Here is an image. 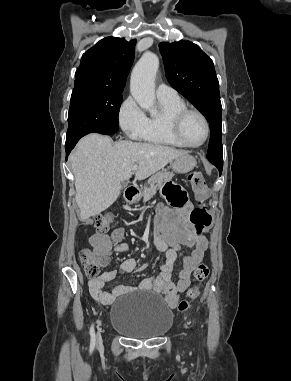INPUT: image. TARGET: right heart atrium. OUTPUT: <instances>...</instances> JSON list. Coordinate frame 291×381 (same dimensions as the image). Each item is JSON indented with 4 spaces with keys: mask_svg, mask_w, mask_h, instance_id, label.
<instances>
[{
    "mask_svg": "<svg viewBox=\"0 0 291 381\" xmlns=\"http://www.w3.org/2000/svg\"><path fill=\"white\" fill-rule=\"evenodd\" d=\"M145 120L146 116L135 99L131 96L127 97L118 111V121L124 133L132 139L140 138Z\"/></svg>",
    "mask_w": 291,
    "mask_h": 381,
    "instance_id": "right-heart-atrium-1",
    "label": "right heart atrium"
}]
</instances>
